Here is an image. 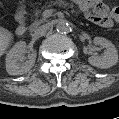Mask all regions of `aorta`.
I'll return each instance as SVG.
<instances>
[{"mask_svg": "<svg viewBox=\"0 0 119 119\" xmlns=\"http://www.w3.org/2000/svg\"><path fill=\"white\" fill-rule=\"evenodd\" d=\"M56 30L59 33H68L70 31V24L66 20H60L56 24Z\"/></svg>", "mask_w": 119, "mask_h": 119, "instance_id": "762f6f07", "label": "aorta"}]
</instances>
